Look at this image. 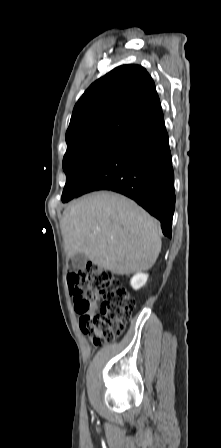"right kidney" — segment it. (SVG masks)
<instances>
[{"label":"right kidney","mask_w":221,"mask_h":448,"mask_svg":"<svg viewBox=\"0 0 221 448\" xmlns=\"http://www.w3.org/2000/svg\"><path fill=\"white\" fill-rule=\"evenodd\" d=\"M147 279H148V274L137 273L132 277L130 283H131V286L133 287V289L138 290L146 284Z\"/></svg>","instance_id":"ca27d5eb"}]
</instances>
